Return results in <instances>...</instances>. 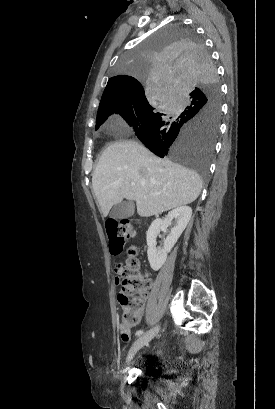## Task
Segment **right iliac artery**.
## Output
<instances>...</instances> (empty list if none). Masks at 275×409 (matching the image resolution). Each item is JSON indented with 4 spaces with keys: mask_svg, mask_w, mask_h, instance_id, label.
Segmentation results:
<instances>
[{
    "mask_svg": "<svg viewBox=\"0 0 275 409\" xmlns=\"http://www.w3.org/2000/svg\"><path fill=\"white\" fill-rule=\"evenodd\" d=\"M143 334V331L142 330H138L137 332H136V336H140V335H142Z\"/></svg>",
    "mask_w": 275,
    "mask_h": 409,
    "instance_id": "82829eb1",
    "label": "right iliac artery"
}]
</instances>
